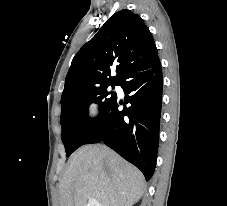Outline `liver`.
Returning a JSON list of instances; mask_svg holds the SVG:
<instances>
[{"label": "liver", "mask_w": 227, "mask_h": 206, "mask_svg": "<svg viewBox=\"0 0 227 206\" xmlns=\"http://www.w3.org/2000/svg\"><path fill=\"white\" fill-rule=\"evenodd\" d=\"M145 189L143 174L108 147L85 145L70 158L59 183V206H133Z\"/></svg>", "instance_id": "obj_1"}]
</instances>
